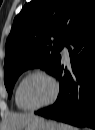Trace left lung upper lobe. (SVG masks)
Returning <instances> with one entry per match:
<instances>
[{"label":"left lung upper lobe","instance_id":"1","mask_svg":"<svg viewBox=\"0 0 95 130\" xmlns=\"http://www.w3.org/2000/svg\"><path fill=\"white\" fill-rule=\"evenodd\" d=\"M95 13V0H33L13 22L6 42L4 83L11 96L19 75L34 67L54 74L60 51L78 26Z\"/></svg>","mask_w":95,"mask_h":130}]
</instances>
